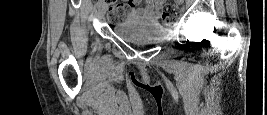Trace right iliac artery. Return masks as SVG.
I'll return each mask as SVG.
<instances>
[{
  "label": "right iliac artery",
  "mask_w": 267,
  "mask_h": 115,
  "mask_svg": "<svg viewBox=\"0 0 267 115\" xmlns=\"http://www.w3.org/2000/svg\"><path fill=\"white\" fill-rule=\"evenodd\" d=\"M102 5V2L101 1H98L97 2V7H100Z\"/></svg>",
  "instance_id": "right-iliac-artery-1"
}]
</instances>
